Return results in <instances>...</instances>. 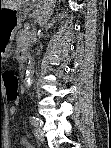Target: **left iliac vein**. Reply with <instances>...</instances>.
Instances as JSON below:
<instances>
[{
  "mask_svg": "<svg viewBox=\"0 0 111 148\" xmlns=\"http://www.w3.org/2000/svg\"><path fill=\"white\" fill-rule=\"evenodd\" d=\"M35 135L38 140L44 141L43 133H42V130L39 126H36Z\"/></svg>",
  "mask_w": 111,
  "mask_h": 148,
  "instance_id": "obj_1",
  "label": "left iliac vein"
}]
</instances>
